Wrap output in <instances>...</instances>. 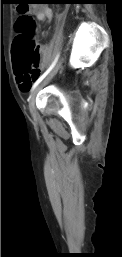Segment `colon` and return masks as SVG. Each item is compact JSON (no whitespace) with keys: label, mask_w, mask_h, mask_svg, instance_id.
<instances>
[{"label":"colon","mask_w":122,"mask_h":257,"mask_svg":"<svg viewBox=\"0 0 122 257\" xmlns=\"http://www.w3.org/2000/svg\"><path fill=\"white\" fill-rule=\"evenodd\" d=\"M20 17L16 23L18 31L12 44V60L16 73L30 80L39 72L40 52L36 41L35 26L27 10H34V5H15Z\"/></svg>","instance_id":"colon-1"}]
</instances>
